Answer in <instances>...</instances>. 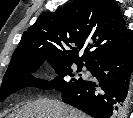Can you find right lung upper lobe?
Returning <instances> with one entry per match:
<instances>
[{
	"label": "right lung upper lobe",
	"mask_w": 133,
	"mask_h": 118,
	"mask_svg": "<svg viewBox=\"0 0 133 118\" xmlns=\"http://www.w3.org/2000/svg\"><path fill=\"white\" fill-rule=\"evenodd\" d=\"M129 40L126 23L114 1L75 0L38 17L23 33L8 69L44 59L85 62L90 67Z\"/></svg>",
	"instance_id": "right-lung-upper-lobe-1"
}]
</instances>
